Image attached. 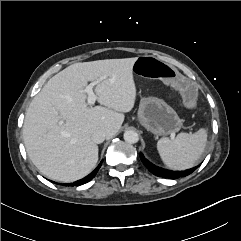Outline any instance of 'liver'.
Segmentation results:
<instances>
[{"instance_id": "6515ba94", "label": "liver", "mask_w": 241, "mask_h": 241, "mask_svg": "<svg viewBox=\"0 0 241 241\" xmlns=\"http://www.w3.org/2000/svg\"><path fill=\"white\" fill-rule=\"evenodd\" d=\"M137 58L75 63L54 75L30 103L23 140L30 160L44 176L73 182L88 175L98 161L96 130L106 138L121 128L124 113L136 100L133 65ZM99 81L95 93L100 106L90 107L84 92Z\"/></svg>"}]
</instances>
